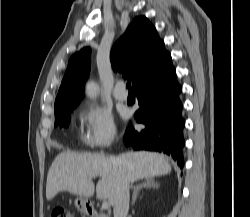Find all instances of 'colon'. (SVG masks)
<instances>
[{
    "instance_id": "obj_1",
    "label": "colon",
    "mask_w": 250,
    "mask_h": 217,
    "mask_svg": "<svg viewBox=\"0 0 250 217\" xmlns=\"http://www.w3.org/2000/svg\"><path fill=\"white\" fill-rule=\"evenodd\" d=\"M51 217H73V215L68 208L58 206L52 210Z\"/></svg>"
}]
</instances>
